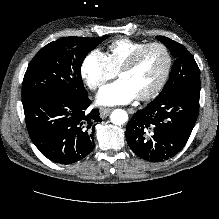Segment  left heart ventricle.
<instances>
[{
	"mask_svg": "<svg viewBox=\"0 0 219 219\" xmlns=\"http://www.w3.org/2000/svg\"><path fill=\"white\" fill-rule=\"evenodd\" d=\"M166 61V55L161 48H149L133 68L122 72L119 77L129 83L137 96L144 94L160 80L166 67Z\"/></svg>",
	"mask_w": 219,
	"mask_h": 219,
	"instance_id": "1",
	"label": "left heart ventricle"
}]
</instances>
